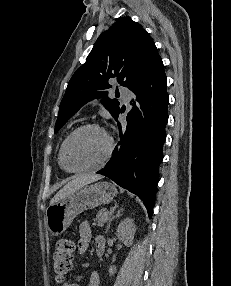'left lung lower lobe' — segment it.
<instances>
[{"label": "left lung lower lobe", "instance_id": "0a47b994", "mask_svg": "<svg viewBox=\"0 0 231 286\" xmlns=\"http://www.w3.org/2000/svg\"><path fill=\"white\" fill-rule=\"evenodd\" d=\"M166 88L164 65L159 58L128 87L135 95L127 116L128 125L122 128L118 123L119 146L104 169L97 172L136 194L146 206L149 217L155 203L158 167L166 139L169 103Z\"/></svg>", "mask_w": 231, "mask_h": 286}]
</instances>
